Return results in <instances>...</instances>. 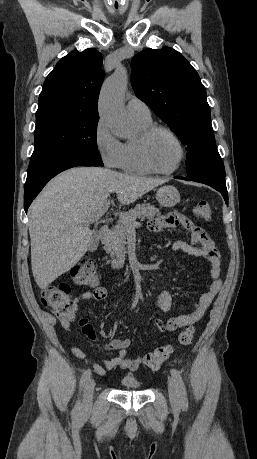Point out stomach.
<instances>
[{
    "instance_id": "obj_1",
    "label": "stomach",
    "mask_w": 257,
    "mask_h": 459,
    "mask_svg": "<svg viewBox=\"0 0 257 459\" xmlns=\"http://www.w3.org/2000/svg\"><path fill=\"white\" fill-rule=\"evenodd\" d=\"M156 198L164 207H173L180 202L178 190L171 185H166L157 190Z\"/></svg>"
}]
</instances>
